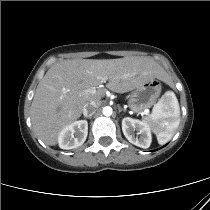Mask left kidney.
<instances>
[{
  "mask_svg": "<svg viewBox=\"0 0 210 210\" xmlns=\"http://www.w3.org/2000/svg\"><path fill=\"white\" fill-rule=\"evenodd\" d=\"M122 131L127 140L138 147L148 148L151 144L150 128L140 120L125 117L122 120ZM135 131L139 137L134 136Z\"/></svg>",
  "mask_w": 210,
  "mask_h": 210,
  "instance_id": "left-kidney-1",
  "label": "left kidney"
}]
</instances>
